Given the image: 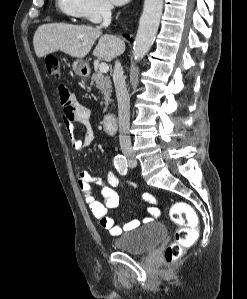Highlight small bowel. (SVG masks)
<instances>
[{"label": "small bowel", "instance_id": "small-bowel-1", "mask_svg": "<svg viewBox=\"0 0 247 299\" xmlns=\"http://www.w3.org/2000/svg\"><path fill=\"white\" fill-rule=\"evenodd\" d=\"M60 101L63 107L62 118L66 132L71 141L74 151L82 152L85 148L90 146L95 139V134L91 125V110L80 104L77 98L65 86L60 85L58 88ZM79 124L84 129V135L79 138L75 132V125ZM100 186L103 196V202L97 200L93 195L92 185ZM120 180L116 173L109 171L105 180L99 179L87 171H81L78 174V186L88 205L90 211L96 219L99 220L100 225L106 229L111 235L119 236L123 230L130 231L140 225L137 219L126 223L123 228L108 215L112 209H116L119 205V195L116 188L119 186ZM141 199L152 205L156 204V198L144 193ZM150 217L145 218V222H150L158 217L160 211L157 207L151 206L147 209Z\"/></svg>", "mask_w": 247, "mask_h": 299}]
</instances>
